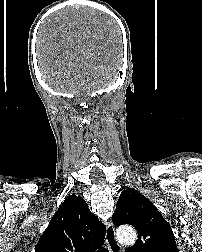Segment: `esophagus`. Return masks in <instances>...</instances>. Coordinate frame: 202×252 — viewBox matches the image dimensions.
<instances>
[{"label": "esophagus", "mask_w": 202, "mask_h": 252, "mask_svg": "<svg viewBox=\"0 0 202 252\" xmlns=\"http://www.w3.org/2000/svg\"><path fill=\"white\" fill-rule=\"evenodd\" d=\"M106 243L110 252H121V246L116 239L115 227L112 223H108L106 226Z\"/></svg>", "instance_id": "34e87169"}]
</instances>
